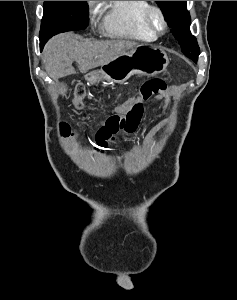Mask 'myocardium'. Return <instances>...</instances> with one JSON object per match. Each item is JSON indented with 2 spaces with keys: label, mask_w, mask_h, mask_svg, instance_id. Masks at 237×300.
Returning a JSON list of instances; mask_svg holds the SVG:
<instances>
[{
  "label": "myocardium",
  "mask_w": 237,
  "mask_h": 300,
  "mask_svg": "<svg viewBox=\"0 0 237 300\" xmlns=\"http://www.w3.org/2000/svg\"><path fill=\"white\" fill-rule=\"evenodd\" d=\"M144 19L152 34L159 36L168 29L167 20L162 8L155 4H149L144 12Z\"/></svg>",
  "instance_id": "myocardium-1"
}]
</instances>
